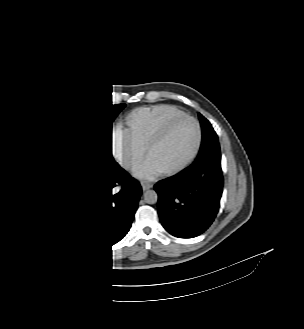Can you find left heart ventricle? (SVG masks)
<instances>
[{"label":"left heart ventricle","mask_w":304,"mask_h":329,"mask_svg":"<svg viewBox=\"0 0 304 329\" xmlns=\"http://www.w3.org/2000/svg\"><path fill=\"white\" fill-rule=\"evenodd\" d=\"M197 136V126L192 120L185 119L178 122L167 138L152 149L148 161L160 171L181 164L192 152Z\"/></svg>","instance_id":"obj_1"}]
</instances>
